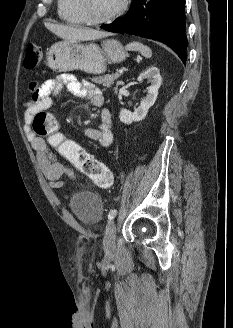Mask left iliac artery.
Segmentation results:
<instances>
[{"instance_id":"1","label":"left iliac artery","mask_w":233,"mask_h":328,"mask_svg":"<svg viewBox=\"0 0 233 328\" xmlns=\"http://www.w3.org/2000/svg\"><path fill=\"white\" fill-rule=\"evenodd\" d=\"M117 215V210L116 209H112L109 214H108V219L112 220L113 218H115V216Z\"/></svg>"}]
</instances>
